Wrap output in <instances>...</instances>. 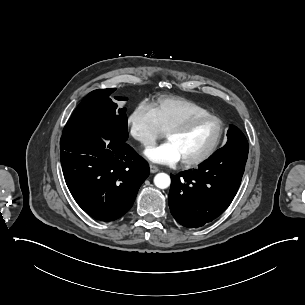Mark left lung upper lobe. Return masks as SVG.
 I'll return each mask as SVG.
<instances>
[{"label": "left lung upper lobe", "instance_id": "left-lung-upper-lobe-1", "mask_svg": "<svg viewBox=\"0 0 305 305\" xmlns=\"http://www.w3.org/2000/svg\"><path fill=\"white\" fill-rule=\"evenodd\" d=\"M227 136L228 141L224 147L248 144L244 134L234 125L229 126Z\"/></svg>", "mask_w": 305, "mask_h": 305}]
</instances>
